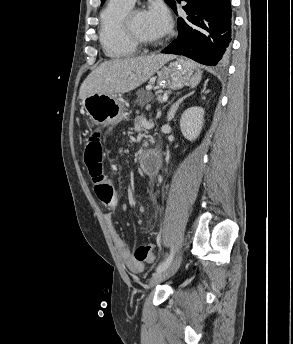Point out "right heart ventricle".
Listing matches in <instances>:
<instances>
[{"mask_svg":"<svg viewBox=\"0 0 293 344\" xmlns=\"http://www.w3.org/2000/svg\"><path fill=\"white\" fill-rule=\"evenodd\" d=\"M133 5L109 0L99 16V40L107 57L119 59L134 56L138 47L123 34L122 20Z\"/></svg>","mask_w":293,"mask_h":344,"instance_id":"right-heart-ventricle-1","label":"right heart ventricle"}]
</instances>
